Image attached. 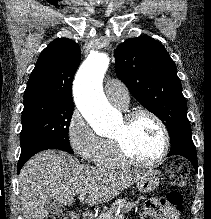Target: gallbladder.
Segmentation results:
<instances>
[{"label":"gallbladder","instance_id":"bac80fb5","mask_svg":"<svg viewBox=\"0 0 211 219\" xmlns=\"http://www.w3.org/2000/svg\"><path fill=\"white\" fill-rule=\"evenodd\" d=\"M44 206L49 213L54 215H59L63 212V205L54 198L47 199Z\"/></svg>","mask_w":211,"mask_h":219}]
</instances>
